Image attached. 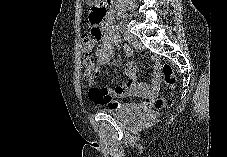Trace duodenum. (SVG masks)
<instances>
[{
    "mask_svg": "<svg viewBox=\"0 0 227 157\" xmlns=\"http://www.w3.org/2000/svg\"><path fill=\"white\" fill-rule=\"evenodd\" d=\"M112 0H99L97 4H92V9H96L98 16H88L92 32L112 33L111 26L107 21V15L111 9Z\"/></svg>",
    "mask_w": 227,
    "mask_h": 157,
    "instance_id": "obj_1",
    "label": "duodenum"
}]
</instances>
